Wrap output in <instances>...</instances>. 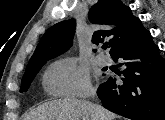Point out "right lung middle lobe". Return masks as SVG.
Returning <instances> with one entry per match:
<instances>
[{"label": "right lung middle lobe", "mask_w": 165, "mask_h": 120, "mask_svg": "<svg viewBox=\"0 0 165 120\" xmlns=\"http://www.w3.org/2000/svg\"><path fill=\"white\" fill-rule=\"evenodd\" d=\"M47 60L49 59L40 60L27 66L25 74L22 78L20 92H25L28 90L32 80Z\"/></svg>", "instance_id": "1"}]
</instances>
